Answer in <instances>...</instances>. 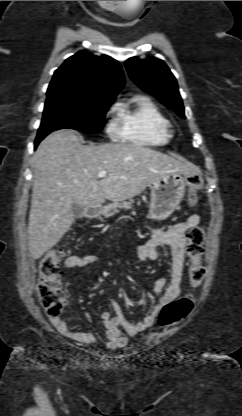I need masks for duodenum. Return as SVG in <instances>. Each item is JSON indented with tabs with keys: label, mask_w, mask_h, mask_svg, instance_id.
I'll return each mask as SVG.
<instances>
[{
	"label": "duodenum",
	"mask_w": 242,
	"mask_h": 416,
	"mask_svg": "<svg viewBox=\"0 0 242 416\" xmlns=\"http://www.w3.org/2000/svg\"><path fill=\"white\" fill-rule=\"evenodd\" d=\"M101 211V206H92L87 209L86 215L88 218L95 217Z\"/></svg>",
	"instance_id": "duodenum-1"
}]
</instances>
